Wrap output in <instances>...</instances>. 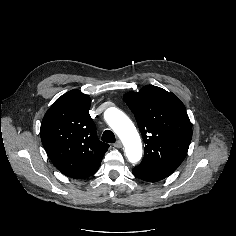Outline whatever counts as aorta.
Segmentation results:
<instances>
[{"instance_id":"1","label":"aorta","mask_w":236,"mask_h":236,"mask_svg":"<svg viewBox=\"0 0 236 236\" xmlns=\"http://www.w3.org/2000/svg\"><path fill=\"white\" fill-rule=\"evenodd\" d=\"M105 120L121 139L125 153L131 163L138 162L142 157V144L136 127L129 117L121 110L111 107L105 111Z\"/></svg>"}]
</instances>
